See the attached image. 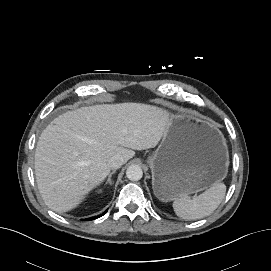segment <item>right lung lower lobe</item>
<instances>
[{
    "mask_svg": "<svg viewBox=\"0 0 271 271\" xmlns=\"http://www.w3.org/2000/svg\"><path fill=\"white\" fill-rule=\"evenodd\" d=\"M107 211V210H106ZM105 211V212H106ZM105 212L102 214V215H104L105 214ZM102 215H100V216H95V217H91V218H88V219H86V220H94V219H96V218H99V217H101Z\"/></svg>",
    "mask_w": 271,
    "mask_h": 271,
    "instance_id": "1",
    "label": "right lung lower lobe"
}]
</instances>
